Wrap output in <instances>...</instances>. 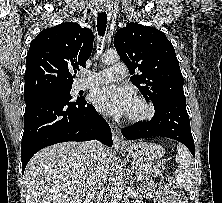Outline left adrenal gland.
<instances>
[{
    "instance_id": "1",
    "label": "left adrenal gland",
    "mask_w": 222,
    "mask_h": 203,
    "mask_svg": "<svg viewBox=\"0 0 222 203\" xmlns=\"http://www.w3.org/2000/svg\"><path fill=\"white\" fill-rule=\"evenodd\" d=\"M127 180L132 184L135 182V178L133 177V172H131L129 169H127Z\"/></svg>"
}]
</instances>
